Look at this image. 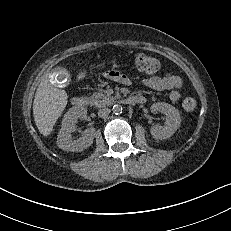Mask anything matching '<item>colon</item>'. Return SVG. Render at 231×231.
<instances>
[{
	"instance_id": "obj_1",
	"label": "colon",
	"mask_w": 231,
	"mask_h": 231,
	"mask_svg": "<svg viewBox=\"0 0 231 231\" xmlns=\"http://www.w3.org/2000/svg\"><path fill=\"white\" fill-rule=\"evenodd\" d=\"M136 69L147 75H153L160 69V62L149 55L139 54L135 57ZM197 107V102L193 97H185L182 101V108L186 113H193Z\"/></svg>"
}]
</instances>
